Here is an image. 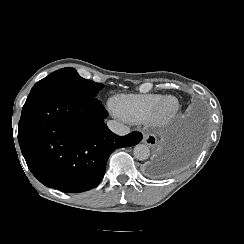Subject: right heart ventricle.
I'll return each instance as SVG.
<instances>
[{"instance_id": "right-heart-ventricle-1", "label": "right heart ventricle", "mask_w": 244, "mask_h": 244, "mask_svg": "<svg viewBox=\"0 0 244 244\" xmlns=\"http://www.w3.org/2000/svg\"><path fill=\"white\" fill-rule=\"evenodd\" d=\"M158 95H120L114 99V114L129 123L148 122L159 100Z\"/></svg>"}]
</instances>
